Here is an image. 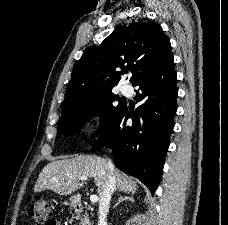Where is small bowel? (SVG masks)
I'll use <instances>...</instances> for the list:
<instances>
[{"label": "small bowel", "mask_w": 228, "mask_h": 225, "mask_svg": "<svg viewBox=\"0 0 228 225\" xmlns=\"http://www.w3.org/2000/svg\"><path fill=\"white\" fill-rule=\"evenodd\" d=\"M52 225H61V223H60V222H58V221H56V220H53Z\"/></svg>", "instance_id": "1"}]
</instances>
